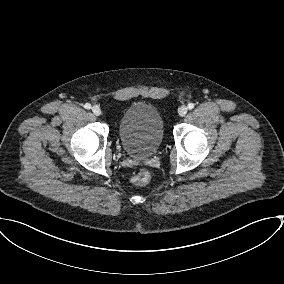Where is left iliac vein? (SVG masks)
Returning <instances> with one entry per match:
<instances>
[{
    "label": "left iliac vein",
    "instance_id": "left-iliac-vein-1",
    "mask_svg": "<svg viewBox=\"0 0 284 284\" xmlns=\"http://www.w3.org/2000/svg\"><path fill=\"white\" fill-rule=\"evenodd\" d=\"M187 111H188L187 107L182 106V107L179 108L178 113H179L180 116H185Z\"/></svg>",
    "mask_w": 284,
    "mask_h": 284
}]
</instances>
